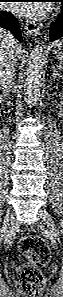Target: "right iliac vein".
Returning a JSON list of instances; mask_svg holds the SVG:
<instances>
[{
    "label": "right iliac vein",
    "mask_w": 63,
    "mask_h": 297,
    "mask_svg": "<svg viewBox=\"0 0 63 297\" xmlns=\"http://www.w3.org/2000/svg\"><path fill=\"white\" fill-rule=\"evenodd\" d=\"M10 221H11V215L10 214H7L6 217H5V220L3 222V226L1 228V232L2 233H5L9 227V224H10ZM14 232L12 231L11 233H9L7 236H6V241L8 244H11L12 241H13V238H14Z\"/></svg>",
    "instance_id": "obj_1"
}]
</instances>
